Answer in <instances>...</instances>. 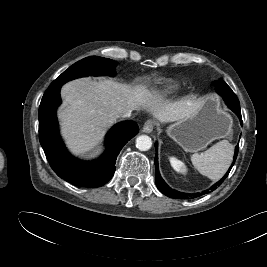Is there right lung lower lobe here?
<instances>
[{"label": "right lung lower lobe", "mask_w": 267, "mask_h": 267, "mask_svg": "<svg viewBox=\"0 0 267 267\" xmlns=\"http://www.w3.org/2000/svg\"><path fill=\"white\" fill-rule=\"evenodd\" d=\"M60 87L44 94L39 107V140L54 172L65 181L96 188L107 183L115 172V161L123 146L139 132L134 121L116 124L107 134L106 150L97 160L85 162L72 157L58 133L56 109L61 103Z\"/></svg>", "instance_id": "obj_1"}]
</instances>
